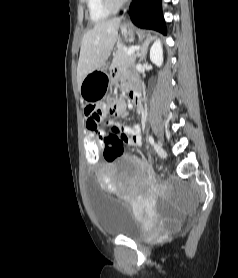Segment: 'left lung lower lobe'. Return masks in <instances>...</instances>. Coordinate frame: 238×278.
<instances>
[{
  "label": "left lung lower lobe",
  "instance_id": "left-lung-lower-lobe-1",
  "mask_svg": "<svg viewBox=\"0 0 238 278\" xmlns=\"http://www.w3.org/2000/svg\"><path fill=\"white\" fill-rule=\"evenodd\" d=\"M129 15L136 26L166 34V26L161 11V0H133Z\"/></svg>",
  "mask_w": 238,
  "mask_h": 278
}]
</instances>
